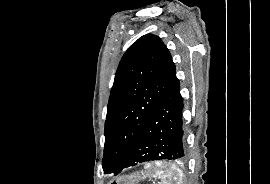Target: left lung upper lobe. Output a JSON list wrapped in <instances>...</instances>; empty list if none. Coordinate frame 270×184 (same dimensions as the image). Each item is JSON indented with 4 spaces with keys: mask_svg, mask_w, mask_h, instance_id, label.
Segmentation results:
<instances>
[{
    "mask_svg": "<svg viewBox=\"0 0 270 184\" xmlns=\"http://www.w3.org/2000/svg\"><path fill=\"white\" fill-rule=\"evenodd\" d=\"M175 77V64L158 36L144 35L125 52L107 107L102 160L105 174L121 169Z\"/></svg>",
    "mask_w": 270,
    "mask_h": 184,
    "instance_id": "obj_1",
    "label": "left lung upper lobe"
}]
</instances>
